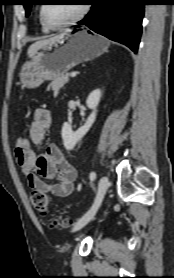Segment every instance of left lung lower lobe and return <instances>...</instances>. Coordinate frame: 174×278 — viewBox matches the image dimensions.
Wrapping results in <instances>:
<instances>
[{
    "label": "left lung lower lobe",
    "mask_w": 174,
    "mask_h": 278,
    "mask_svg": "<svg viewBox=\"0 0 174 278\" xmlns=\"http://www.w3.org/2000/svg\"><path fill=\"white\" fill-rule=\"evenodd\" d=\"M91 11L78 22L137 52L145 0H89Z\"/></svg>",
    "instance_id": "left-lung-lower-lobe-1"
}]
</instances>
